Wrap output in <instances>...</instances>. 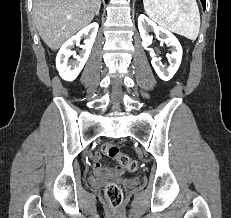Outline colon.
<instances>
[{
	"instance_id": "obj_1",
	"label": "colon",
	"mask_w": 231,
	"mask_h": 218,
	"mask_svg": "<svg viewBox=\"0 0 231 218\" xmlns=\"http://www.w3.org/2000/svg\"><path fill=\"white\" fill-rule=\"evenodd\" d=\"M101 149L105 155H107L111 159L116 160L126 170H137V162L134 159L130 158L128 155L124 154L119 146L112 143H105L102 145ZM105 196L112 206L117 207L122 202V189L117 184L109 182L105 186Z\"/></svg>"
}]
</instances>
